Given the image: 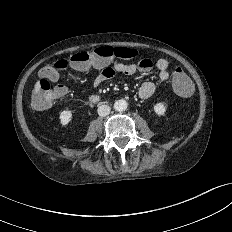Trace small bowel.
Wrapping results in <instances>:
<instances>
[{
	"instance_id": "1",
	"label": "small bowel",
	"mask_w": 232,
	"mask_h": 232,
	"mask_svg": "<svg viewBox=\"0 0 232 232\" xmlns=\"http://www.w3.org/2000/svg\"><path fill=\"white\" fill-rule=\"evenodd\" d=\"M94 66L101 70L93 82L95 88L118 74L129 76L135 74L137 71L146 73L151 71L154 66L158 70V78L160 81H167L170 76L168 71L169 63L164 58H160L155 62L148 58H142L136 63H125L122 60L115 58L107 63L95 64ZM155 89L156 86L153 82L146 81L140 86L138 96L141 99H148L154 94Z\"/></svg>"
}]
</instances>
